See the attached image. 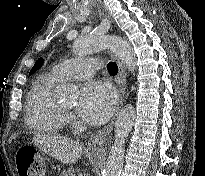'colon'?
<instances>
[{"mask_svg": "<svg viewBox=\"0 0 205 176\" xmlns=\"http://www.w3.org/2000/svg\"><path fill=\"white\" fill-rule=\"evenodd\" d=\"M16 163L20 176H45L46 163L34 150L21 149Z\"/></svg>", "mask_w": 205, "mask_h": 176, "instance_id": "colon-1", "label": "colon"}]
</instances>
